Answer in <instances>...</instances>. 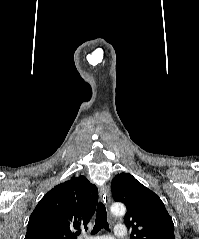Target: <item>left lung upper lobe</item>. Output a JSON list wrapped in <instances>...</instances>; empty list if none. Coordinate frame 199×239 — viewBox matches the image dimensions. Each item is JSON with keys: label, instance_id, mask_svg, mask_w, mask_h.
<instances>
[{"label": "left lung upper lobe", "instance_id": "left-lung-upper-lobe-1", "mask_svg": "<svg viewBox=\"0 0 199 239\" xmlns=\"http://www.w3.org/2000/svg\"><path fill=\"white\" fill-rule=\"evenodd\" d=\"M113 198L127 206L124 222L131 239H175L174 224L161 199L129 173L114 177Z\"/></svg>", "mask_w": 199, "mask_h": 239}]
</instances>
